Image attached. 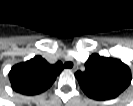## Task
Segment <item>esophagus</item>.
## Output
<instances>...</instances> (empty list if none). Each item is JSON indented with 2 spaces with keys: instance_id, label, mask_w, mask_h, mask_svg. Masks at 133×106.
Returning a JSON list of instances; mask_svg holds the SVG:
<instances>
[{
  "instance_id": "1",
  "label": "esophagus",
  "mask_w": 133,
  "mask_h": 106,
  "mask_svg": "<svg viewBox=\"0 0 133 106\" xmlns=\"http://www.w3.org/2000/svg\"><path fill=\"white\" fill-rule=\"evenodd\" d=\"M78 69V66L75 64L73 67H72V71L75 72L76 70Z\"/></svg>"
}]
</instances>
